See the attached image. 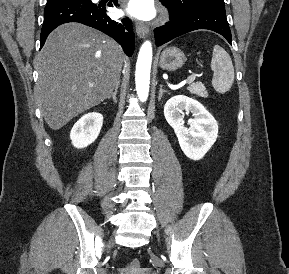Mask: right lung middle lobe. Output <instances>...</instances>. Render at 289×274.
<instances>
[{
    "label": "right lung middle lobe",
    "mask_w": 289,
    "mask_h": 274,
    "mask_svg": "<svg viewBox=\"0 0 289 274\" xmlns=\"http://www.w3.org/2000/svg\"><path fill=\"white\" fill-rule=\"evenodd\" d=\"M61 1H64V0H47V4L61 2Z\"/></svg>",
    "instance_id": "obj_1"
}]
</instances>
